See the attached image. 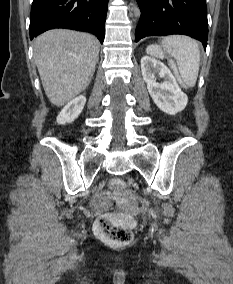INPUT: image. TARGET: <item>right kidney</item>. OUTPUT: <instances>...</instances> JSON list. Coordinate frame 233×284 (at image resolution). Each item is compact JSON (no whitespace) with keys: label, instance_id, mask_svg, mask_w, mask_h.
Instances as JSON below:
<instances>
[{"label":"right kidney","instance_id":"obj_1","mask_svg":"<svg viewBox=\"0 0 233 284\" xmlns=\"http://www.w3.org/2000/svg\"><path fill=\"white\" fill-rule=\"evenodd\" d=\"M86 103V97L80 95L71 100L59 113L57 117L58 124H66L73 122L82 112Z\"/></svg>","mask_w":233,"mask_h":284}]
</instances>
